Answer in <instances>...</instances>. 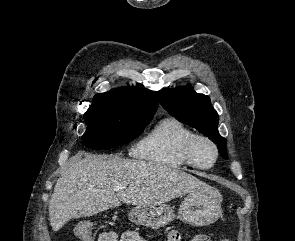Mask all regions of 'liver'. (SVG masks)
Segmentation results:
<instances>
[{
    "mask_svg": "<svg viewBox=\"0 0 295 241\" xmlns=\"http://www.w3.org/2000/svg\"><path fill=\"white\" fill-rule=\"evenodd\" d=\"M125 189L116 191L118 185ZM210 188L176 167L118 156L75 157L65 166L49 202V221L58 231L70 219L90 217L121 203L164 204Z\"/></svg>",
    "mask_w": 295,
    "mask_h": 241,
    "instance_id": "6515ba94",
    "label": "liver"
}]
</instances>
